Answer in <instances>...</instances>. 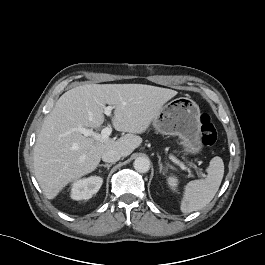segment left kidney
I'll list each match as a JSON object with an SVG mask.
<instances>
[{
  "mask_svg": "<svg viewBox=\"0 0 265 265\" xmlns=\"http://www.w3.org/2000/svg\"><path fill=\"white\" fill-rule=\"evenodd\" d=\"M167 181H168L169 186L175 190L178 184V179L174 176H170L167 178Z\"/></svg>",
  "mask_w": 265,
  "mask_h": 265,
  "instance_id": "left-kidney-1",
  "label": "left kidney"
}]
</instances>
